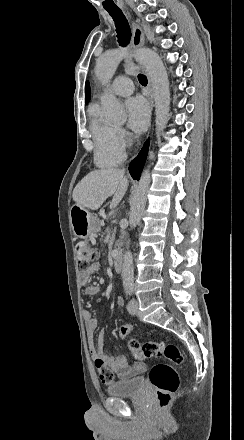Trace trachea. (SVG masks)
<instances>
[{
	"label": "trachea",
	"instance_id": "3493384b",
	"mask_svg": "<svg viewBox=\"0 0 244 440\" xmlns=\"http://www.w3.org/2000/svg\"><path fill=\"white\" fill-rule=\"evenodd\" d=\"M107 12L109 13V15H111L115 22L119 45L121 47H126L127 45H129V42L131 40V29L125 15L120 9H107ZM138 79L141 85H147V78L145 75H142L140 73L138 75Z\"/></svg>",
	"mask_w": 244,
	"mask_h": 440
}]
</instances>
